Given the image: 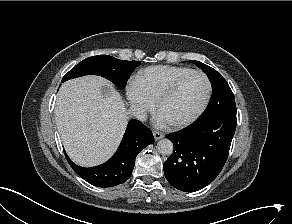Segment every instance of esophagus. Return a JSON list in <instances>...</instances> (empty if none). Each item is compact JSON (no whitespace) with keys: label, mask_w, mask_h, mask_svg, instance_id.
I'll list each match as a JSON object with an SVG mask.
<instances>
[{"label":"esophagus","mask_w":292,"mask_h":224,"mask_svg":"<svg viewBox=\"0 0 292 224\" xmlns=\"http://www.w3.org/2000/svg\"><path fill=\"white\" fill-rule=\"evenodd\" d=\"M153 136L156 141L163 138V134L157 131H153Z\"/></svg>","instance_id":"obj_1"}]
</instances>
